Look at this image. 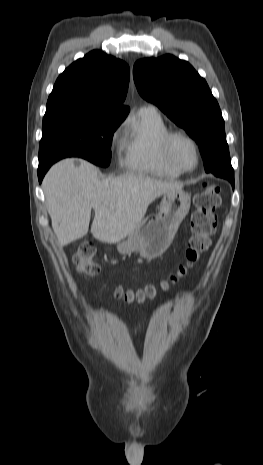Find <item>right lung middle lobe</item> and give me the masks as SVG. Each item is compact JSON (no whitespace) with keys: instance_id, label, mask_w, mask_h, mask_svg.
Segmentation results:
<instances>
[{"instance_id":"dd1d6c3e","label":"right lung middle lobe","mask_w":263,"mask_h":465,"mask_svg":"<svg viewBox=\"0 0 263 465\" xmlns=\"http://www.w3.org/2000/svg\"><path fill=\"white\" fill-rule=\"evenodd\" d=\"M126 116V112L80 105L47 107L39 146V167L49 168L69 156L107 167L113 133Z\"/></svg>"}]
</instances>
